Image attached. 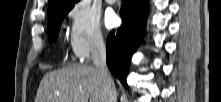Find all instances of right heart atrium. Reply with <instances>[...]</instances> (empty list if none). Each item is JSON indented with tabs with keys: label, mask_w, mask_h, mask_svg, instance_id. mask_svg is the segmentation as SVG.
I'll use <instances>...</instances> for the list:
<instances>
[{
	"label": "right heart atrium",
	"mask_w": 221,
	"mask_h": 102,
	"mask_svg": "<svg viewBox=\"0 0 221 102\" xmlns=\"http://www.w3.org/2000/svg\"><path fill=\"white\" fill-rule=\"evenodd\" d=\"M69 20V41L76 58L86 59L104 45L100 21L86 6H74L69 12Z\"/></svg>",
	"instance_id": "right-heart-atrium-1"
}]
</instances>
